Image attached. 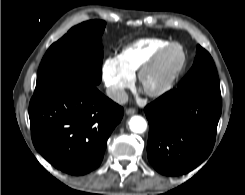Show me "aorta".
<instances>
[{
    "label": "aorta",
    "instance_id": "obj_1",
    "mask_svg": "<svg viewBox=\"0 0 245 195\" xmlns=\"http://www.w3.org/2000/svg\"><path fill=\"white\" fill-rule=\"evenodd\" d=\"M130 130L134 133H143L147 128L146 120L138 115L132 116L129 121Z\"/></svg>",
    "mask_w": 245,
    "mask_h": 195
}]
</instances>
